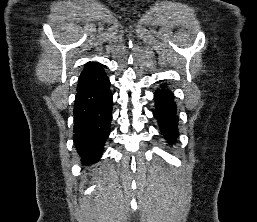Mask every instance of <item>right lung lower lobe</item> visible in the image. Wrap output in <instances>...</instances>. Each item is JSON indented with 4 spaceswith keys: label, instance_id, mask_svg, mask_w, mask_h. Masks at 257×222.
Here are the masks:
<instances>
[{
    "label": "right lung lower lobe",
    "instance_id": "obj_1",
    "mask_svg": "<svg viewBox=\"0 0 257 222\" xmlns=\"http://www.w3.org/2000/svg\"><path fill=\"white\" fill-rule=\"evenodd\" d=\"M73 113L76 150L84 164L97 162L104 150L112 120V93L106 74L77 88Z\"/></svg>",
    "mask_w": 257,
    "mask_h": 222
}]
</instances>
